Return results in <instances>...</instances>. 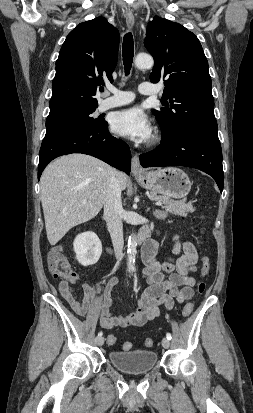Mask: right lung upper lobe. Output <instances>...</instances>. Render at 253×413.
<instances>
[{"label":"right lung upper lobe","instance_id":"1","mask_svg":"<svg viewBox=\"0 0 253 413\" xmlns=\"http://www.w3.org/2000/svg\"><path fill=\"white\" fill-rule=\"evenodd\" d=\"M118 48L119 32L104 17L75 27L56 61L49 116L97 107V91L113 81Z\"/></svg>","mask_w":253,"mask_h":413}]
</instances>
